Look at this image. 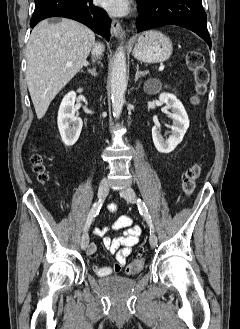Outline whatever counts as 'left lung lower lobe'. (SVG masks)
Wrapping results in <instances>:
<instances>
[{"label":"left lung lower lobe","mask_w":240,"mask_h":329,"mask_svg":"<svg viewBox=\"0 0 240 329\" xmlns=\"http://www.w3.org/2000/svg\"><path fill=\"white\" fill-rule=\"evenodd\" d=\"M138 32L164 25H177L198 34L211 48L207 16L201 0H137Z\"/></svg>","instance_id":"obj_1"}]
</instances>
